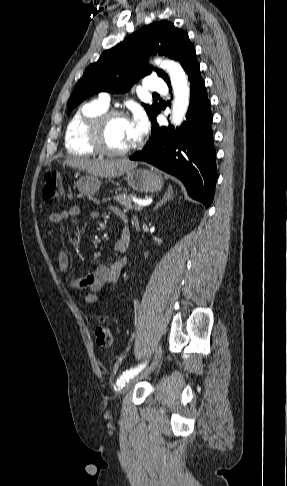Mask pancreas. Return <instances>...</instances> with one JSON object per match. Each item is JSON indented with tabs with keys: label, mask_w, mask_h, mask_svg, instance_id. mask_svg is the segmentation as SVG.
<instances>
[{
	"label": "pancreas",
	"mask_w": 287,
	"mask_h": 486,
	"mask_svg": "<svg viewBox=\"0 0 287 486\" xmlns=\"http://www.w3.org/2000/svg\"><path fill=\"white\" fill-rule=\"evenodd\" d=\"M131 195H128L127 192L114 196V200L117 201L119 204L124 206L126 211L134 209L135 211H141L142 207L137 205H132Z\"/></svg>",
	"instance_id": "cf45deb5"
}]
</instances>
